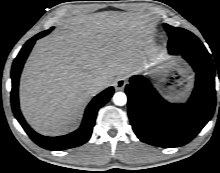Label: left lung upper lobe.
Listing matches in <instances>:
<instances>
[{"mask_svg":"<svg viewBox=\"0 0 220 173\" xmlns=\"http://www.w3.org/2000/svg\"><path fill=\"white\" fill-rule=\"evenodd\" d=\"M164 27L170 37L168 44L169 50L174 54H179L183 50H186L187 52H207L202 42L191 32L167 24H165Z\"/></svg>","mask_w":220,"mask_h":173,"instance_id":"1","label":"left lung upper lobe"}]
</instances>
